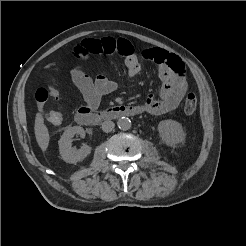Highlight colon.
<instances>
[{
  "instance_id": "obj_1",
  "label": "colon",
  "mask_w": 246,
  "mask_h": 246,
  "mask_svg": "<svg viewBox=\"0 0 246 246\" xmlns=\"http://www.w3.org/2000/svg\"><path fill=\"white\" fill-rule=\"evenodd\" d=\"M87 56L86 53H82V58ZM58 101L60 99L59 91L53 85H49L48 88H38L35 93L36 102L43 113L47 122L52 125H60L63 121V112L61 108L48 110L45 108V104L49 97ZM198 105L197 97L194 93L187 94L184 101V112L187 115H192L196 112Z\"/></svg>"
}]
</instances>
